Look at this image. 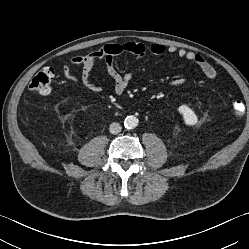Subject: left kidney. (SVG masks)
I'll return each mask as SVG.
<instances>
[{
	"mask_svg": "<svg viewBox=\"0 0 249 249\" xmlns=\"http://www.w3.org/2000/svg\"><path fill=\"white\" fill-rule=\"evenodd\" d=\"M178 112L182 115L184 123L186 125L192 126L198 122V118H197L196 114L187 105L179 106Z\"/></svg>",
	"mask_w": 249,
	"mask_h": 249,
	"instance_id": "5707ae66",
	"label": "left kidney"
}]
</instances>
